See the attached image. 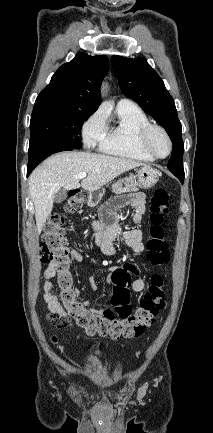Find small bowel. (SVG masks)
<instances>
[{"mask_svg":"<svg viewBox=\"0 0 213 433\" xmlns=\"http://www.w3.org/2000/svg\"><path fill=\"white\" fill-rule=\"evenodd\" d=\"M117 206L129 205L134 208L133 223L135 228L130 230H123L119 224L118 215L111 210L106 211L100 221H94L92 226L94 228V244L101 248V251L106 256H114L117 253V249L114 246V240L121 236L126 246L132 249L135 253H142L145 249L143 243V231L140 225L143 220L145 213V195L142 193L131 194L128 199L124 202H117ZM84 255L77 250L69 251L68 263L83 262ZM107 265V264H105ZM132 271V276L139 274L138 267L134 264H125ZM119 267H109V274L107 276V282H112V273ZM98 272L96 270L91 277V288L95 290L97 288L95 282V275ZM57 278V271L55 265L51 263L44 272V284L43 293L44 300L48 306L50 313L57 317H66L67 312L61 305L57 295L54 292V279ZM146 287V282L142 278H136L131 283V290L134 292H142ZM89 305L87 301L85 303ZM111 310L109 307L100 308L97 311L104 312ZM56 341L55 338H53Z\"/></svg>","mask_w":213,"mask_h":433,"instance_id":"1","label":"small bowel"}]
</instances>
